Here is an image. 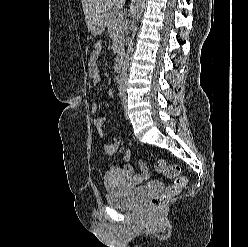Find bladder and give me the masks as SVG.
<instances>
[{"mask_svg":"<svg viewBox=\"0 0 248 247\" xmlns=\"http://www.w3.org/2000/svg\"><path fill=\"white\" fill-rule=\"evenodd\" d=\"M108 203L116 208H131L139 200L145 187L132 188L127 175L121 169H111L104 177Z\"/></svg>","mask_w":248,"mask_h":247,"instance_id":"1","label":"bladder"}]
</instances>
